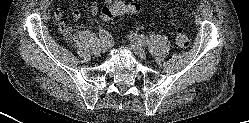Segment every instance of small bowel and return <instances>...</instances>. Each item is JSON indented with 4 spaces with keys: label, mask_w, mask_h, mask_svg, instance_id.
<instances>
[{
    "label": "small bowel",
    "mask_w": 249,
    "mask_h": 123,
    "mask_svg": "<svg viewBox=\"0 0 249 123\" xmlns=\"http://www.w3.org/2000/svg\"><path fill=\"white\" fill-rule=\"evenodd\" d=\"M104 1L107 4H112V3L123 4L124 3L122 1H116V0H104ZM90 11L94 16H98L100 14V8L96 3H93L91 5ZM80 17H81V12L78 9H75V10L72 11L73 20L78 21L80 19ZM54 18H55L56 21L60 22V24H59L60 31L64 35L68 36L71 33V28L65 22L62 21L63 13L61 11H56L54 13Z\"/></svg>",
    "instance_id": "1"
}]
</instances>
